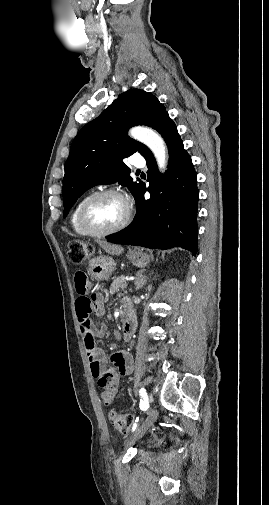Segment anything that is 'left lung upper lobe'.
Instances as JSON below:
<instances>
[{
  "label": "left lung upper lobe",
  "mask_w": 269,
  "mask_h": 505,
  "mask_svg": "<svg viewBox=\"0 0 269 505\" xmlns=\"http://www.w3.org/2000/svg\"><path fill=\"white\" fill-rule=\"evenodd\" d=\"M166 108L149 92L130 89L102 114L87 123L72 142L63 178L64 215L91 187L118 181L127 186L134 198L142 182H134L123 159L149 151L144 144L130 139L127 130L136 125L156 128L167 115Z\"/></svg>",
  "instance_id": "left-lung-upper-lobe-1"
}]
</instances>
